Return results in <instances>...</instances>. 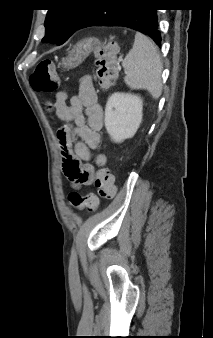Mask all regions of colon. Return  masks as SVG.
Instances as JSON below:
<instances>
[{"label": "colon", "mask_w": 213, "mask_h": 338, "mask_svg": "<svg viewBox=\"0 0 213 338\" xmlns=\"http://www.w3.org/2000/svg\"><path fill=\"white\" fill-rule=\"evenodd\" d=\"M119 57V47L115 43L101 44L96 47L95 74L102 88H108L114 82L117 73L116 63ZM29 82L34 91L38 93H53L59 88V77L54 63L50 60H43L34 73L30 76ZM66 158L63 161V171L67 178H73L78 171L84 169L80 161L70 156L66 149ZM105 156L100 154L96 158V164L100 166L96 173L95 187L97 195L101 198H111L116 192V184L112 173L102 167L105 163ZM96 194L82 195L78 192H71L68 195L69 203L76 210H87L93 212L97 209L99 200Z\"/></svg>", "instance_id": "obj_1"}]
</instances>
